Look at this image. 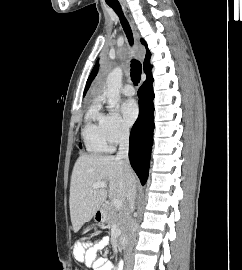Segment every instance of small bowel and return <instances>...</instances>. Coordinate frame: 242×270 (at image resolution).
I'll return each mask as SVG.
<instances>
[{
	"label": "small bowel",
	"instance_id": "c3829d8e",
	"mask_svg": "<svg viewBox=\"0 0 242 270\" xmlns=\"http://www.w3.org/2000/svg\"><path fill=\"white\" fill-rule=\"evenodd\" d=\"M108 239H103L93 244L76 243L74 246V256L86 264L92 266L94 270H112L113 264L106 258L97 257V253L107 247Z\"/></svg>",
	"mask_w": 242,
	"mask_h": 270
}]
</instances>
